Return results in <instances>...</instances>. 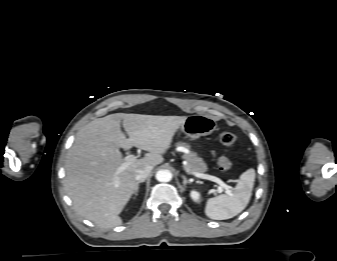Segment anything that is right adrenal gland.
Masks as SVG:
<instances>
[{
    "label": "right adrenal gland",
    "instance_id": "obj_1",
    "mask_svg": "<svg viewBox=\"0 0 337 261\" xmlns=\"http://www.w3.org/2000/svg\"><path fill=\"white\" fill-rule=\"evenodd\" d=\"M144 182V180H140L136 182V188H135V192L134 195L137 196L138 195V190H139V184Z\"/></svg>",
    "mask_w": 337,
    "mask_h": 261
}]
</instances>
